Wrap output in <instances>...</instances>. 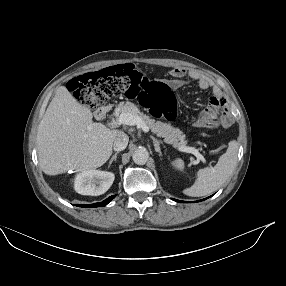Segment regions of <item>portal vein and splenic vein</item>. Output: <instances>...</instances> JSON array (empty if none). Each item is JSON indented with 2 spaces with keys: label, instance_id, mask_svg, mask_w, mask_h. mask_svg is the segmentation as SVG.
Here are the masks:
<instances>
[{
  "label": "portal vein and splenic vein",
  "instance_id": "obj_1",
  "mask_svg": "<svg viewBox=\"0 0 286 286\" xmlns=\"http://www.w3.org/2000/svg\"><path fill=\"white\" fill-rule=\"evenodd\" d=\"M117 124H126V125H138L144 132L149 131V127L144 124L138 117L133 116L129 113H121L117 119L112 120L108 125L114 126ZM179 151L192 153L198 160H201L203 163H206L205 158L198 152L197 149L189 146L178 147Z\"/></svg>",
  "mask_w": 286,
  "mask_h": 286
}]
</instances>
